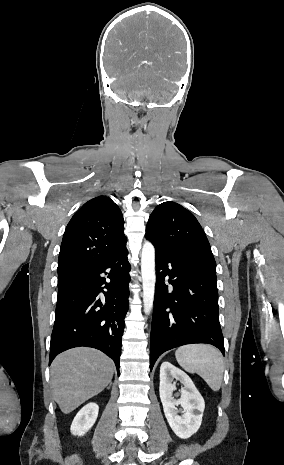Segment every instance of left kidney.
<instances>
[{"instance_id":"5707ae66","label":"left kidney","mask_w":284,"mask_h":465,"mask_svg":"<svg viewBox=\"0 0 284 465\" xmlns=\"http://www.w3.org/2000/svg\"><path fill=\"white\" fill-rule=\"evenodd\" d=\"M173 379L184 385L178 401L173 397V391H176ZM159 391L165 417L175 435L179 439H189L194 433H197L202 423L205 403L190 377L168 361H164L160 367ZM176 405H181L182 409L178 411Z\"/></svg>"}]
</instances>
